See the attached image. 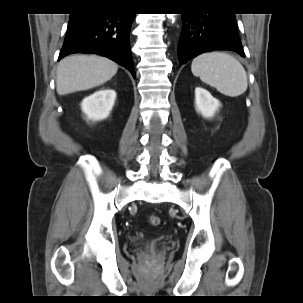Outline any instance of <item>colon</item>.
<instances>
[{"mask_svg": "<svg viewBox=\"0 0 303 303\" xmlns=\"http://www.w3.org/2000/svg\"><path fill=\"white\" fill-rule=\"evenodd\" d=\"M148 222L149 224H151L152 226H158L160 224V218L157 215H150L148 217Z\"/></svg>", "mask_w": 303, "mask_h": 303, "instance_id": "colon-1", "label": "colon"}]
</instances>
